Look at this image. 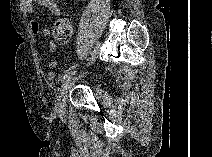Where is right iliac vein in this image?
<instances>
[{"label": "right iliac vein", "mask_w": 212, "mask_h": 157, "mask_svg": "<svg viewBox=\"0 0 212 157\" xmlns=\"http://www.w3.org/2000/svg\"><path fill=\"white\" fill-rule=\"evenodd\" d=\"M82 76L83 75H80L78 77L69 78L64 82V84L60 90V94L58 96V103H57V107H56V112L58 114H62L65 110L66 97H67L68 90L76 82V80H78Z\"/></svg>", "instance_id": "obj_1"}]
</instances>
